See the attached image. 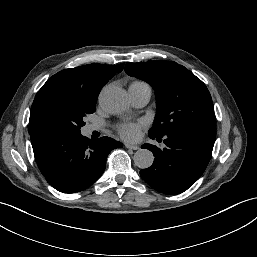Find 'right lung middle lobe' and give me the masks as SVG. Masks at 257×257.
<instances>
[{
    "label": "right lung middle lobe",
    "mask_w": 257,
    "mask_h": 257,
    "mask_svg": "<svg viewBox=\"0 0 257 257\" xmlns=\"http://www.w3.org/2000/svg\"><path fill=\"white\" fill-rule=\"evenodd\" d=\"M96 102L66 85L44 84L32 105L29 133H80L84 117L95 112Z\"/></svg>",
    "instance_id": "obj_1"
}]
</instances>
